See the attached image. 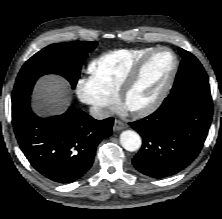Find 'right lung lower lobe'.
I'll return each instance as SVG.
<instances>
[{
  "instance_id": "obj_1",
  "label": "right lung lower lobe",
  "mask_w": 222,
  "mask_h": 219,
  "mask_svg": "<svg viewBox=\"0 0 222 219\" xmlns=\"http://www.w3.org/2000/svg\"><path fill=\"white\" fill-rule=\"evenodd\" d=\"M113 118L96 120L70 106L66 113L40 118L30 96L12 103L17 141L30 164L46 178L70 183L92 166L99 142L112 134Z\"/></svg>"
}]
</instances>
